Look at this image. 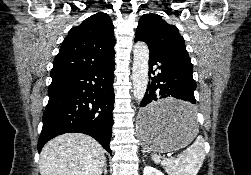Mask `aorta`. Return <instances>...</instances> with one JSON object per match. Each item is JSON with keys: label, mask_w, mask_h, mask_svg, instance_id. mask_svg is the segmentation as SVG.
<instances>
[{"label": "aorta", "mask_w": 251, "mask_h": 175, "mask_svg": "<svg viewBox=\"0 0 251 175\" xmlns=\"http://www.w3.org/2000/svg\"><path fill=\"white\" fill-rule=\"evenodd\" d=\"M133 48V95L137 101H141L148 86L149 50L143 42H137Z\"/></svg>", "instance_id": "762f6f07"}]
</instances>
